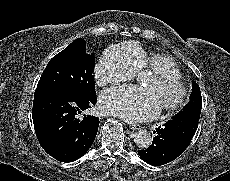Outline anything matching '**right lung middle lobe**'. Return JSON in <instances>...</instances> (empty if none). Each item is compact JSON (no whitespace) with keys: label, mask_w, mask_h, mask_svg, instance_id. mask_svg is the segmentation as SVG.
Wrapping results in <instances>:
<instances>
[{"label":"right lung middle lobe","mask_w":230,"mask_h":181,"mask_svg":"<svg viewBox=\"0 0 230 181\" xmlns=\"http://www.w3.org/2000/svg\"><path fill=\"white\" fill-rule=\"evenodd\" d=\"M94 54L86 53V42L76 39L55 55L46 66L35 95L42 92H70L85 97L96 96Z\"/></svg>","instance_id":"dd1d6c3e"}]
</instances>
